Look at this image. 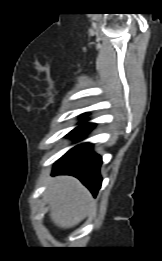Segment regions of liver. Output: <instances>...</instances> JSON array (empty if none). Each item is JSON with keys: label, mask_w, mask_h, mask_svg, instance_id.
I'll use <instances>...</instances> for the list:
<instances>
[{"label": "liver", "mask_w": 162, "mask_h": 261, "mask_svg": "<svg viewBox=\"0 0 162 261\" xmlns=\"http://www.w3.org/2000/svg\"><path fill=\"white\" fill-rule=\"evenodd\" d=\"M50 217L55 225L71 228L85 219L93 208L90 192L75 178L58 176L47 189Z\"/></svg>", "instance_id": "obj_1"}]
</instances>
